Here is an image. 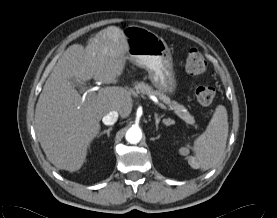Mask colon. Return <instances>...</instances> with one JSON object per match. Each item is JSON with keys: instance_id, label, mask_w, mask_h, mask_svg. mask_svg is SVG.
<instances>
[{"instance_id": "obj_1", "label": "colon", "mask_w": 277, "mask_h": 218, "mask_svg": "<svg viewBox=\"0 0 277 218\" xmlns=\"http://www.w3.org/2000/svg\"><path fill=\"white\" fill-rule=\"evenodd\" d=\"M185 68L191 76L204 74L207 69V61L202 52L197 49L190 50L186 56ZM195 97L200 105L209 107L213 104L216 97L215 88L208 84L197 85Z\"/></svg>"}]
</instances>
